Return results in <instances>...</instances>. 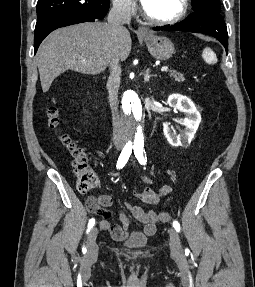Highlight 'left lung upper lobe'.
Listing matches in <instances>:
<instances>
[{
	"instance_id": "1",
	"label": "left lung upper lobe",
	"mask_w": 255,
	"mask_h": 287,
	"mask_svg": "<svg viewBox=\"0 0 255 287\" xmlns=\"http://www.w3.org/2000/svg\"><path fill=\"white\" fill-rule=\"evenodd\" d=\"M192 7L194 10L207 9L221 12L220 0H192Z\"/></svg>"
}]
</instances>
